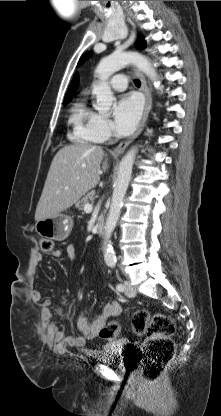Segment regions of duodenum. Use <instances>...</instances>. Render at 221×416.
<instances>
[{
    "mask_svg": "<svg viewBox=\"0 0 221 416\" xmlns=\"http://www.w3.org/2000/svg\"><path fill=\"white\" fill-rule=\"evenodd\" d=\"M96 232L98 235H102L105 232V221L103 218H99L96 222Z\"/></svg>",
    "mask_w": 221,
    "mask_h": 416,
    "instance_id": "1",
    "label": "duodenum"
}]
</instances>
